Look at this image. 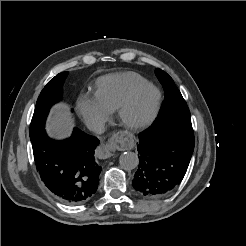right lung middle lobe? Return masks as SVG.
Masks as SVG:
<instances>
[{
  "label": "right lung middle lobe",
  "instance_id": "obj_1",
  "mask_svg": "<svg viewBox=\"0 0 246 246\" xmlns=\"http://www.w3.org/2000/svg\"><path fill=\"white\" fill-rule=\"evenodd\" d=\"M67 75L68 72L57 74L41 91L30 124V138L44 129L45 121L51 106L61 99L62 86Z\"/></svg>",
  "mask_w": 246,
  "mask_h": 246
}]
</instances>
